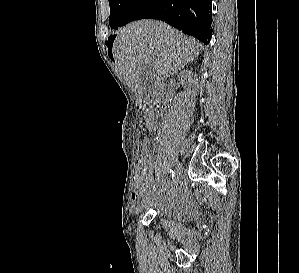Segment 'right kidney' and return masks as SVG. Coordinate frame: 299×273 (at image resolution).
Instances as JSON below:
<instances>
[{"mask_svg": "<svg viewBox=\"0 0 299 273\" xmlns=\"http://www.w3.org/2000/svg\"><path fill=\"white\" fill-rule=\"evenodd\" d=\"M193 73L191 71H183L180 75H179V80L180 81H185L187 78H189Z\"/></svg>", "mask_w": 299, "mask_h": 273, "instance_id": "1", "label": "right kidney"}]
</instances>
